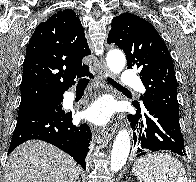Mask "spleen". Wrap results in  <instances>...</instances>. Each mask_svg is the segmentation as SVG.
<instances>
[{
  "label": "spleen",
  "mask_w": 196,
  "mask_h": 182,
  "mask_svg": "<svg viewBox=\"0 0 196 182\" xmlns=\"http://www.w3.org/2000/svg\"><path fill=\"white\" fill-rule=\"evenodd\" d=\"M132 172L140 182H187L184 166L168 153L140 157L134 163Z\"/></svg>",
  "instance_id": "obj_1"
}]
</instances>
